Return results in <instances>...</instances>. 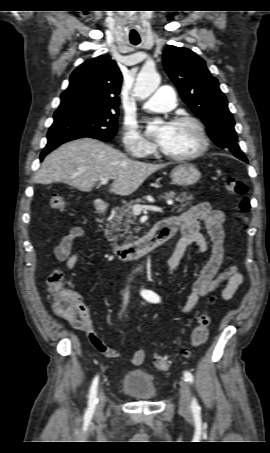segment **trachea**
Listing matches in <instances>:
<instances>
[{
    "instance_id": "obj_1",
    "label": "trachea",
    "mask_w": 270,
    "mask_h": 453,
    "mask_svg": "<svg viewBox=\"0 0 270 453\" xmlns=\"http://www.w3.org/2000/svg\"><path fill=\"white\" fill-rule=\"evenodd\" d=\"M131 43H132L133 45H138V44L140 43V41H131Z\"/></svg>"
}]
</instances>
